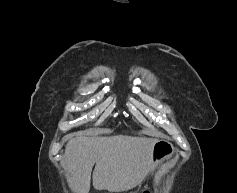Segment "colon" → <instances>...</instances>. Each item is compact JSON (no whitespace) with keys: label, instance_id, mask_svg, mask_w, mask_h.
<instances>
[{"label":"colon","instance_id":"1","mask_svg":"<svg viewBox=\"0 0 237 193\" xmlns=\"http://www.w3.org/2000/svg\"><path fill=\"white\" fill-rule=\"evenodd\" d=\"M144 193H149L148 191H144Z\"/></svg>","mask_w":237,"mask_h":193}]
</instances>
